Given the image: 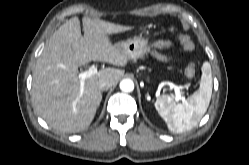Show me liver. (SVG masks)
<instances>
[{
    "label": "liver",
    "mask_w": 249,
    "mask_h": 165,
    "mask_svg": "<svg viewBox=\"0 0 249 165\" xmlns=\"http://www.w3.org/2000/svg\"><path fill=\"white\" fill-rule=\"evenodd\" d=\"M82 23L84 37L78 17L60 26L46 43L33 71L32 99L36 112L52 128L68 133L82 131L93 121L102 98L100 81L109 80L116 85L124 75L121 69H101L85 79L80 96L78 68L91 61L124 67L132 59L108 37L132 27L87 17H83Z\"/></svg>",
    "instance_id": "obj_1"
}]
</instances>
